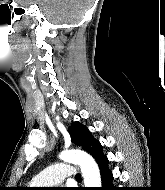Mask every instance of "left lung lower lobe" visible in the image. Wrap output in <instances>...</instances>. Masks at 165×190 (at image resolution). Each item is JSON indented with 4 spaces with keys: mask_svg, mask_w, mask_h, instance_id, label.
Here are the masks:
<instances>
[{
    "mask_svg": "<svg viewBox=\"0 0 165 190\" xmlns=\"http://www.w3.org/2000/svg\"><path fill=\"white\" fill-rule=\"evenodd\" d=\"M101 172V178L103 182V187L100 190H114L115 188L111 186L112 172L108 168V159L106 156L102 157L97 161Z\"/></svg>",
    "mask_w": 165,
    "mask_h": 190,
    "instance_id": "obj_1",
    "label": "left lung lower lobe"
}]
</instances>
